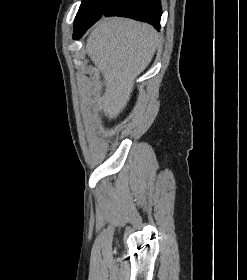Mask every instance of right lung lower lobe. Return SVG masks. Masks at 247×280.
Returning a JSON list of instances; mask_svg holds the SVG:
<instances>
[{
	"instance_id": "1",
	"label": "right lung lower lobe",
	"mask_w": 247,
	"mask_h": 280,
	"mask_svg": "<svg viewBox=\"0 0 247 280\" xmlns=\"http://www.w3.org/2000/svg\"><path fill=\"white\" fill-rule=\"evenodd\" d=\"M162 15L160 0H111L99 17L74 26V38H79L101 16H122L144 21L160 29Z\"/></svg>"
}]
</instances>
